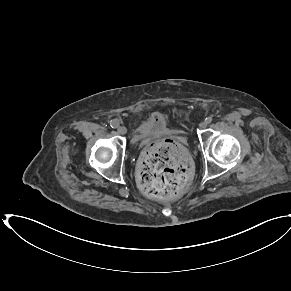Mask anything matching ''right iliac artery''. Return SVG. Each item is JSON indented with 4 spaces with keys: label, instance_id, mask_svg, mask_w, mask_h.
<instances>
[{
    "label": "right iliac artery",
    "instance_id": "82829eb1",
    "mask_svg": "<svg viewBox=\"0 0 291 291\" xmlns=\"http://www.w3.org/2000/svg\"><path fill=\"white\" fill-rule=\"evenodd\" d=\"M110 126H111L112 128H117V127L119 126V122L116 121V120H111V122H110Z\"/></svg>",
    "mask_w": 291,
    "mask_h": 291
}]
</instances>
